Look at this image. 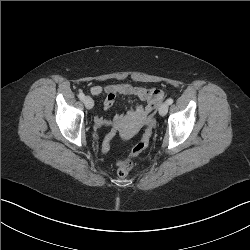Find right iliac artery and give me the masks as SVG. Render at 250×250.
Instances as JSON below:
<instances>
[{
  "instance_id": "obj_1",
  "label": "right iliac artery",
  "mask_w": 250,
  "mask_h": 250,
  "mask_svg": "<svg viewBox=\"0 0 250 250\" xmlns=\"http://www.w3.org/2000/svg\"><path fill=\"white\" fill-rule=\"evenodd\" d=\"M78 97H79L81 100H83L84 97H85V95L81 92V93L78 94Z\"/></svg>"
}]
</instances>
